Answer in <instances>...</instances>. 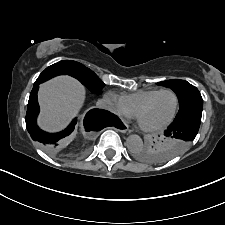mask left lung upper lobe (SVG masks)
<instances>
[{
    "instance_id": "1",
    "label": "left lung upper lobe",
    "mask_w": 225,
    "mask_h": 225,
    "mask_svg": "<svg viewBox=\"0 0 225 225\" xmlns=\"http://www.w3.org/2000/svg\"><path fill=\"white\" fill-rule=\"evenodd\" d=\"M158 85H163L171 88L178 97L180 109L176 117L184 115L191 111L203 110V99L199 90L185 80L172 79L159 82ZM176 144L185 145L184 149L190 142L175 137H164L156 146L139 154L140 159L147 162L159 163L166 161L176 155L173 151V146Z\"/></svg>"
}]
</instances>
